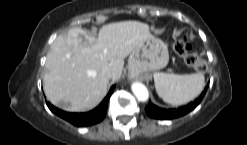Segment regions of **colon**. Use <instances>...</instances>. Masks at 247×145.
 Returning <instances> with one entry per match:
<instances>
[{
  "instance_id": "5ec220e1",
  "label": "colon",
  "mask_w": 247,
  "mask_h": 145,
  "mask_svg": "<svg viewBox=\"0 0 247 145\" xmlns=\"http://www.w3.org/2000/svg\"><path fill=\"white\" fill-rule=\"evenodd\" d=\"M173 48L187 65L199 71L207 70V63L196 56L193 45L187 40V38L175 40Z\"/></svg>"
}]
</instances>
